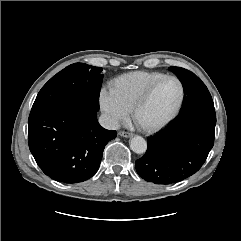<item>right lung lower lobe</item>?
I'll use <instances>...</instances> for the list:
<instances>
[{"label":"right lung lower lobe","mask_w":241,"mask_h":241,"mask_svg":"<svg viewBox=\"0 0 241 241\" xmlns=\"http://www.w3.org/2000/svg\"><path fill=\"white\" fill-rule=\"evenodd\" d=\"M29 148L41 170L58 182L78 183L98 170L105 145L117 136L97 121V111L81 103L31 110Z\"/></svg>","instance_id":"obj_1"}]
</instances>
